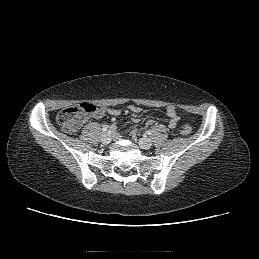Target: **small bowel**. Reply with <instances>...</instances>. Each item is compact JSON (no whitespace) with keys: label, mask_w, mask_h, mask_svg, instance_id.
Segmentation results:
<instances>
[{"label":"small bowel","mask_w":259,"mask_h":259,"mask_svg":"<svg viewBox=\"0 0 259 259\" xmlns=\"http://www.w3.org/2000/svg\"><path fill=\"white\" fill-rule=\"evenodd\" d=\"M125 110L131 111L133 113H140L142 111V109L139 106L136 105H129L126 107ZM124 111V109H120V108H98L96 110V112L92 115V117L94 118H100L102 117L104 114H108L110 116H118L120 115L122 112ZM167 115L169 117V127L170 128H175L179 122V117L177 115L176 109L174 106H168L166 109ZM148 124H153L154 120L153 119H149L147 121ZM112 129H115V126H112Z\"/></svg>","instance_id":"obj_1"}]
</instances>
